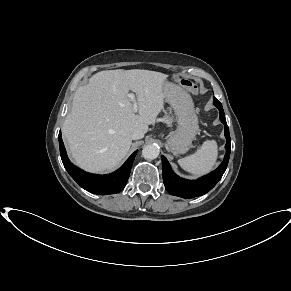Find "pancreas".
Instances as JSON below:
<instances>
[{
    "instance_id": "cf45deb5",
    "label": "pancreas",
    "mask_w": 291,
    "mask_h": 291,
    "mask_svg": "<svg viewBox=\"0 0 291 291\" xmlns=\"http://www.w3.org/2000/svg\"><path fill=\"white\" fill-rule=\"evenodd\" d=\"M164 121H165L166 123L169 124V123L171 122V118H170L169 116L166 115V116L164 117Z\"/></svg>"
}]
</instances>
